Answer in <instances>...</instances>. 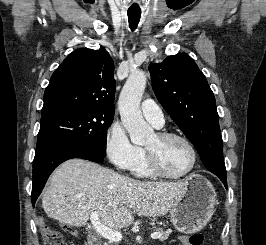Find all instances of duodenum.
<instances>
[{
    "label": "duodenum",
    "mask_w": 266,
    "mask_h": 245,
    "mask_svg": "<svg viewBox=\"0 0 266 245\" xmlns=\"http://www.w3.org/2000/svg\"><path fill=\"white\" fill-rule=\"evenodd\" d=\"M88 245H101L100 240L96 234L90 235Z\"/></svg>",
    "instance_id": "duodenum-1"
}]
</instances>
